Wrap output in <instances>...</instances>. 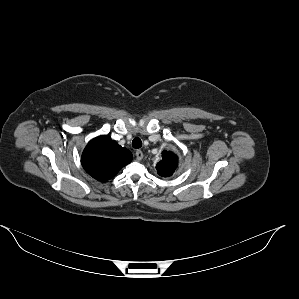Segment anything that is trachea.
<instances>
[{"instance_id":"obj_1","label":"trachea","mask_w":299,"mask_h":299,"mask_svg":"<svg viewBox=\"0 0 299 299\" xmlns=\"http://www.w3.org/2000/svg\"><path fill=\"white\" fill-rule=\"evenodd\" d=\"M132 146H133V148H135V149H139V148H141V146H142V141H141V139L138 138V137L134 138L133 141H132Z\"/></svg>"}]
</instances>
